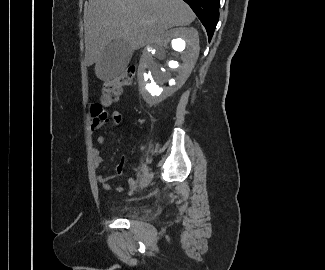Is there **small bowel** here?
Returning <instances> with one entry per match:
<instances>
[{
  "label": "small bowel",
  "instance_id": "obj_1",
  "mask_svg": "<svg viewBox=\"0 0 325 270\" xmlns=\"http://www.w3.org/2000/svg\"><path fill=\"white\" fill-rule=\"evenodd\" d=\"M110 109L109 103H96L91 106V113L94 117L92 121V129L96 130L99 129L104 123H108L109 121V112L105 110ZM122 116L121 113L117 110L113 111L112 113V124L117 125L121 122ZM95 142L97 145H104L105 139L103 136H97L95 139ZM93 159H94V165L95 168L98 169L100 165L104 161V157L102 153L99 151L98 148L93 149ZM126 157H122L120 162L116 166V172L117 174H122L124 172V168L126 165ZM97 181L101 184L102 188L105 190L111 189V177L105 176L101 173L97 174L96 176ZM137 185V180L135 178H128V186L131 190H134ZM116 190L118 192H122L124 190V187L119 185L116 187Z\"/></svg>",
  "mask_w": 325,
  "mask_h": 270
}]
</instances>
